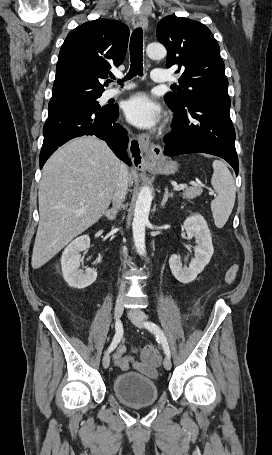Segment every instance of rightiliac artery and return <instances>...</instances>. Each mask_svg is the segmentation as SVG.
Instances as JSON below:
<instances>
[{"label":"right iliac artery","mask_w":272,"mask_h":455,"mask_svg":"<svg viewBox=\"0 0 272 455\" xmlns=\"http://www.w3.org/2000/svg\"><path fill=\"white\" fill-rule=\"evenodd\" d=\"M115 330H116V333L114 335V338L108 348V353L112 352L118 345V343L120 342L121 338H122V335H123V326H122V323L120 320H117L116 321V324H115Z\"/></svg>","instance_id":"1"}]
</instances>
